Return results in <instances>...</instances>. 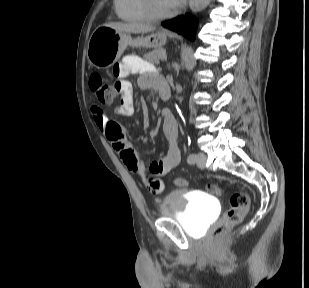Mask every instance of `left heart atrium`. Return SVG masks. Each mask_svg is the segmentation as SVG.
Returning <instances> with one entry per match:
<instances>
[{
	"mask_svg": "<svg viewBox=\"0 0 309 288\" xmlns=\"http://www.w3.org/2000/svg\"><path fill=\"white\" fill-rule=\"evenodd\" d=\"M168 3L171 5L172 8H176L181 5L183 0H167Z\"/></svg>",
	"mask_w": 309,
	"mask_h": 288,
	"instance_id": "39dd6f15",
	"label": "left heart atrium"
}]
</instances>
